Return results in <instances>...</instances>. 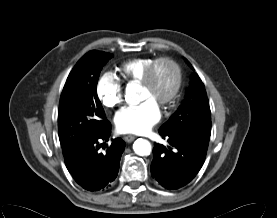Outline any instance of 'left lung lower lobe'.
<instances>
[{"label": "left lung lower lobe", "instance_id": "left-lung-lower-lobe-1", "mask_svg": "<svg viewBox=\"0 0 277 218\" xmlns=\"http://www.w3.org/2000/svg\"><path fill=\"white\" fill-rule=\"evenodd\" d=\"M169 146L156 144L153 148L151 174L161 186L174 190L188 184L201 169L211 131L180 128L159 130Z\"/></svg>", "mask_w": 277, "mask_h": 218}]
</instances>
